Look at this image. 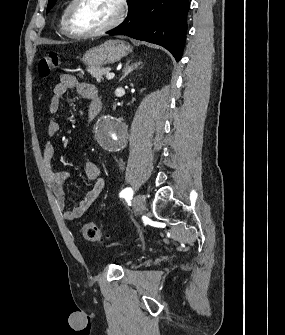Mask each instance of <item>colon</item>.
<instances>
[{"label":"colon","instance_id":"obj_1","mask_svg":"<svg viewBox=\"0 0 285 335\" xmlns=\"http://www.w3.org/2000/svg\"><path fill=\"white\" fill-rule=\"evenodd\" d=\"M61 64L60 55L56 52L45 54L38 64L39 75L47 78L56 70ZM83 236L85 239L96 242L102 240V232L97 224L93 222L85 223L82 227Z\"/></svg>","mask_w":285,"mask_h":335}]
</instances>
